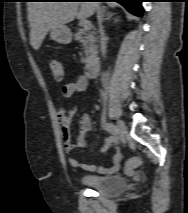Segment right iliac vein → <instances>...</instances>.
Segmentation results:
<instances>
[{"label": "right iliac vein", "instance_id": "1", "mask_svg": "<svg viewBox=\"0 0 188 213\" xmlns=\"http://www.w3.org/2000/svg\"><path fill=\"white\" fill-rule=\"evenodd\" d=\"M117 128H118V133L121 136H124L127 132V127L125 125V123L122 120H118L117 121Z\"/></svg>", "mask_w": 188, "mask_h": 213}]
</instances>
